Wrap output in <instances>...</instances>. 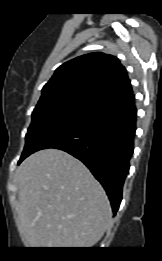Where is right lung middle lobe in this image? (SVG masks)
Masks as SVG:
<instances>
[{
	"mask_svg": "<svg viewBox=\"0 0 162 261\" xmlns=\"http://www.w3.org/2000/svg\"><path fill=\"white\" fill-rule=\"evenodd\" d=\"M100 104L102 103L98 100L81 92H67L40 98L32 113V122L26 134L22 156L33 152L50 133Z\"/></svg>",
	"mask_w": 162,
	"mask_h": 261,
	"instance_id": "obj_1",
	"label": "right lung middle lobe"
}]
</instances>
